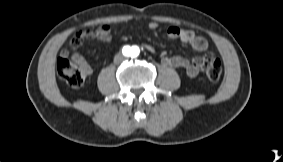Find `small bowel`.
Returning a JSON list of instances; mask_svg holds the SVG:
<instances>
[{
  "label": "small bowel",
  "mask_w": 283,
  "mask_h": 162,
  "mask_svg": "<svg viewBox=\"0 0 283 162\" xmlns=\"http://www.w3.org/2000/svg\"><path fill=\"white\" fill-rule=\"evenodd\" d=\"M148 28L150 30H158L159 24L155 21H151L148 23ZM166 35L170 39L179 40L181 43L189 44L194 50L198 52H204L208 48V42L205 38L196 35L193 31L183 29L177 26H169L166 28ZM86 38H98L105 42L106 44L111 43L110 36V26L107 24H103L99 26L95 30L91 31H79L74 37L71 39L70 46L72 49H77L81 46L82 42ZM145 48L148 51L153 52L154 47L151 45H145ZM69 52L67 50H63L61 52V56L68 57ZM73 59L85 62L84 58L78 54L73 56ZM206 57H199L192 60L186 59L181 56H172L168 57L166 55H162V64L178 69L183 70L189 77H195L199 74L201 69L203 68L204 60Z\"/></svg>",
  "instance_id": "1"
}]
</instances>
